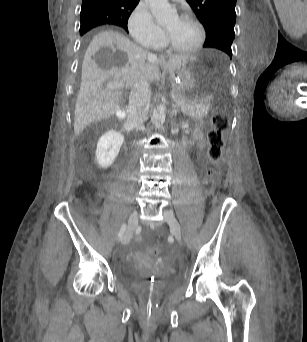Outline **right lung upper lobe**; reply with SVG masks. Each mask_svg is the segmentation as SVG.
<instances>
[{
    "mask_svg": "<svg viewBox=\"0 0 307 342\" xmlns=\"http://www.w3.org/2000/svg\"><path fill=\"white\" fill-rule=\"evenodd\" d=\"M139 0H83L81 11H102L115 16L112 25L120 26L126 31L128 18Z\"/></svg>",
    "mask_w": 307,
    "mask_h": 342,
    "instance_id": "right-lung-upper-lobe-1",
    "label": "right lung upper lobe"
}]
</instances>
